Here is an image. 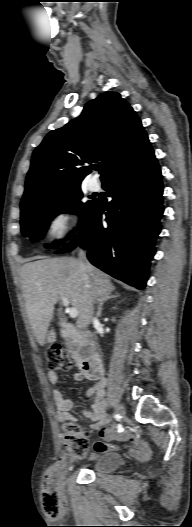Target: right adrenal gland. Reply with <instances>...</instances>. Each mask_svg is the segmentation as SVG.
<instances>
[{
	"mask_svg": "<svg viewBox=\"0 0 192 527\" xmlns=\"http://www.w3.org/2000/svg\"><path fill=\"white\" fill-rule=\"evenodd\" d=\"M120 297L119 294H112V293H109L103 297H101L99 299V305H98V311H97V315L100 316L102 314V307L104 305L105 302H107L108 300L110 299H115V298H118Z\"/></svg>",
	"mask_w": 192,
	"mask_h": 527,
	"instance_id": "right-adrenal-gland-1",
	"label": "right adrenal gland"
}]
</instances>
